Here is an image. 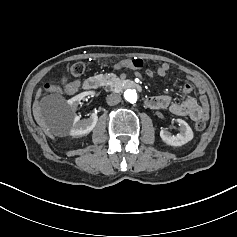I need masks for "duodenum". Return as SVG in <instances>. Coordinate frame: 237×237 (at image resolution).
I'll return each instance as SVG.
<instances>
[{"label":"duodenum","instance_id":"1","mask_svg":"<svg viewBox=\"0 0 237 237\" xmlns=\"http://www.w3.org/2000/svg\"><path fill=\"white\" fill-rule=\"evenodd\" d=\"M101 82H102L101 79L97 76L89 77L88 79H86V81L84 83V88L86 90H96L100 87ZM124 84H125V86H127L129 88H132V89H135L138 91L141 90V85L134 80L126 79L124 81Z\"/></svg>","mask_w":237,"mask_h":237}]
</instances>
